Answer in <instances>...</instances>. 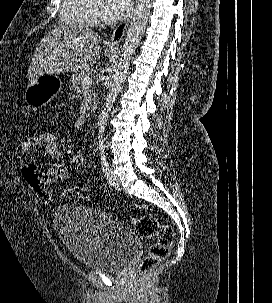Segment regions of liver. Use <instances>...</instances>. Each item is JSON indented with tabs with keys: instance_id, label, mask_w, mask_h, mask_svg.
<instances>
[{
	"instance_id": "liver-1",
	"label": "liver",
	"mask_w": 272,
	"mask_h": 303,
	"mask_svg": "<svg viewBox=\"0 0 272 303\" xmlns=\"http://www.w3.org/2000/svg\"><path fill=\"white\" fill-rule=\"evenodd\" d=\"M101 38L83 26H58L41 40L28 69L32 82L42 75L78 72L93 67L101 54Z\"/></svg>"
}]
</instances>
